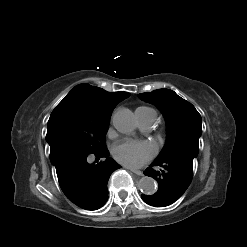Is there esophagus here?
<instances>
[{
    "instance_id": "obj_1",
    "label": "esophagus",
    "mask_w": 247,
    "mask_h": 247,
    "mask_svg": "<svg viewBox=\"0 0 247 247\" xmlns=\"http://www.w3.org/2000/svg\"><path fill=\"white\" fill-rule=\"evenodd\" d=\"M131 172H133V173H135V174H137V175H139V176H142L143 175V172L142 171H140V170H136V169H129Z\"/></svg>"
}]
</instances>
